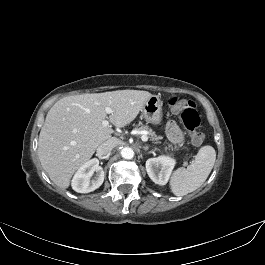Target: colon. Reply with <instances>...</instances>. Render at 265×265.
Returning a JSON list of instances; mask_svg holds the SVG:
<instances>
[{
    "instance_id": "5ec220e1",
    "label": "colon",
    "mask_w": 265,
    "mask_h": 265,
    "mask_svg": "<svg viewBox=\"0 0 265 265\" xmlns=\"http://www.w3.org/2000/svg\"><path fill=\"white\" fill-rule=\"evenodd\" d=\"M168 104L174 112L180 114L192 143L201 145L205 140V136L199 131L200 117L195 103L184 97L174 96L169 99Z\"/></svg>"
}]
</instances>
